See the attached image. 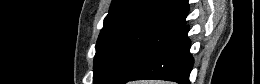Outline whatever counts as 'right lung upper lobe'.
I'll return each mask as SVG.
<instances>
[{
	"label": "right lung upper lobe",
	"instance_id": "1",
	"mask_svg": "<svg viewBox=\"0 0 260 84\" xmlns=\"http://www.w3.org/2000/svg\"><path fill=\"white\" fill-rule=\"evenodd\" d=\"M188 7V0H113L99 39L133 25L180 28Z\"/></svg>",
	"mask_w": 260,
	"mask_h": 84
}]
</instances>
